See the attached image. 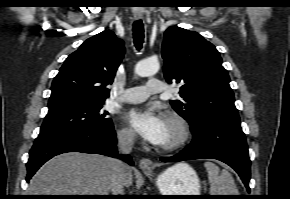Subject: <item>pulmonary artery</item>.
Returning a JSON list of instances; mask_svg holds the SVG:
<instances>
[{
  "mask_svg": "<svg viewBox=\"0 0 290 199\" xmlns=\"http://www.w3.org/2000/svg\"><path fill=\"white\" fill-rule=\"evenodd\" d=\"M164 84L158 79H151L146 86L126 88L122 92L121 100L126 103H139L145 101L152 94H162Z\"/></svg>",
  "mask_w": 290,
  "mask_h": 199,
  "instance_id": "obj_1",
  "label": "pulmonary artery"
}]
</instances>
